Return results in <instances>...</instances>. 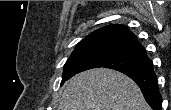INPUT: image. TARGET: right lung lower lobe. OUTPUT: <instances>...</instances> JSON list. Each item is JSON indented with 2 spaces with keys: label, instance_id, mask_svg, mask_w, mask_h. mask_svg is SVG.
<instances>
[{
  "label": "right lung lower lobe",
  "instance_id": "obj_1",
  "mask_svg": "<svg viewBox=\"0 0 171 110\" xmlns=\"http://www.w3.org/2000/svg\"><path fill=\"white\" fill-rule=\"evenodd\" d=\"M122 73L126 74L137 83L147 103L153 110H161L162 98L158 91V85L153 68L146 71H128Z\"/></svg>",
  "mask_w": 171,
  "mask_h": 110
}]
</instances>
